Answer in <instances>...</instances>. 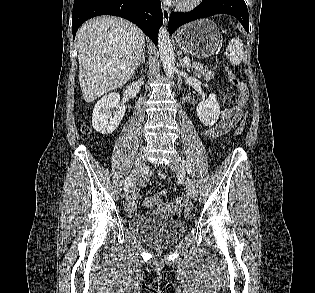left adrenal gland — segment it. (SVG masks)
<instances>
[{
  "label": "left adrenal gland",
  "instance_id": "1",
  "mask_svg": "<svg viewBox=\"0 0 315 293\" xmlns=\"http://www.w3.org/2000/svg\"><path fill=\"white\" fill-rule=\"evenodd\" d=\"M179 65H180L182 68H185L188 72L190 71L188 65H187L186 63H184L180 57H179Z\"/></svg>",
  "mask_w": 315,
  "mask_h": 293
}]
</instances>
